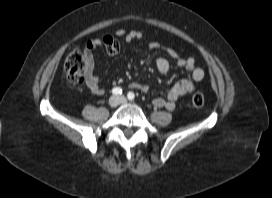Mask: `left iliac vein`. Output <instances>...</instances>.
Returning a JSON list of instances; mask_svg holds the SVG:
<instances>
[{"instance_id": "1", "label": "left iliac vein", "mask_w": 272, "mask_h": 198, "mask_svg": "<svg viewBox=\"0 0 272 198\" xmlns=\"http://www.w3.org/2000/svg\"><path fill=\"white\" fill-rule=\"evenodd\" d=\"M119 98V102L122 103V104H125L127 103V99L124 97V96H120L118 97Z\"/></svg>"}]
</instances>
